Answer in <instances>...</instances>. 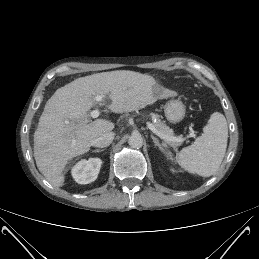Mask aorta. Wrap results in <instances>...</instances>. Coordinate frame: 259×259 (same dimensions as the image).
Masks as SVG:
<instances>
[{
  "instance_id": "1",
  "label": "aorta",
  "mask_w": 259,
  "mask_h": 259,
  "mask_svg": "<svg viewBox=\"0 0 259 259\" xmlns=\"http://www.w3.org/2000/svg\"><path fill=\"white\" fill-rule=\"evenodd\" d=\"M131 148L139 149L143 146V138L140 134H132L128 139Z\"/></svg>"
}]
</instances>
